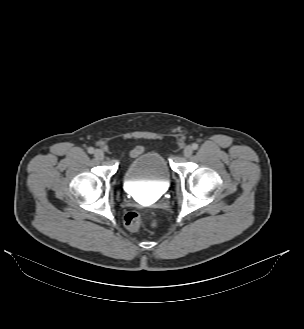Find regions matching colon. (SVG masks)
I'll list each match as a JSON object with an SVG mask.
<instances>
[{
    "label": "colon",
    "instance_id": "1",
    "mask_svg": "<svg viewBox=\"0 0 304 329\" xmlns=\"http://www.w3.org/2000/svg\"><path fill=\"white\" fill-rule=\"evenodd\" d=\"M146 220L142 218L137 212L130 211L124 217L125 226L131 231L139 230L143 225H145ZM151 226L155 227L156 223L151 222Z\"/></svg>",
    "mask_w": 304,
    "mask_h": 329
}]
</instances>
